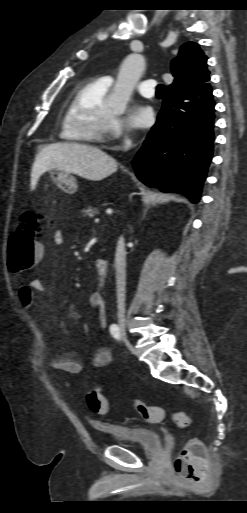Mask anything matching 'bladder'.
<instances>
[{"label":"bladder","mask_w":247,"mask_h":513,"mask_svg":"<svg viewBox=\"0 0 247 513\" xmlns=\"http://www.w3.org/2000/svg\"><path fill=\"white\" fill-rule=\"evenodd\" d=\"M96 428L110 434L117 444L138 446L144 452L157 451L162 447L159 434L152 429L105 422L98 423Z\"/></svg>","instance_id":"bladder-1"}]
</instances>
